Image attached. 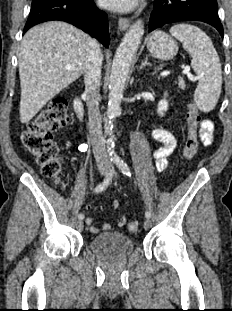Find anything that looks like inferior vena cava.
<instances>
[{"instance_id":"obj_1","label":"inferior vena cava","mask_w":232,"mask_h":311,"mask_svg":"<svg viewBox=\"0 0 232 311\" xmlns=\"http://www.w3.org/2000/svg\"><path fill=\"white\" fill-rule=\"evenodd\" d=\"M102 54L99 43L89 38L86 43V60L84 67L85 95L89 116V135L94 157L99 167L109 166L107 150L102 133L99 112V86L101 79Z\"/></svg>"}]
</instances>
